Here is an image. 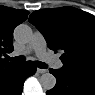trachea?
Instances as JSON below:
<instances>
[{"mask_svg": "<svg viewBox=\"0 0 95 95\" xmlns=\"http://www.w3.org/2000/svg\"><path fill=\"white\" fill-rule=\"evenodd\" d=\"M8 60L15 61V62H24L25 61V57L24 56L8 57ZM35 64L40 69L47 68V65L45 63H43V62L36 61Z\"/></svg>", "mask_w": 95, "mask_h": 95, "instance_id": "trachea-1", "label": "trachea"}]
</instances>
